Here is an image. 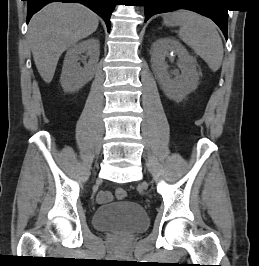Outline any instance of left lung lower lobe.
I'll return each mask as SVG.
<instances>
[{"label":"left lung lower lobe","instance_id":"left-lung-lower-lobe-1","mask_svg":"<svg viewBox=\"0 0 259 266\" xmlns=\"http://www.w3.org/2000/svg\"><path fill=\"white\" fill-rule=\"evenodd\" d=\"M217 0H195L188 2L186 0H141L145 7V21L158 13L173 11L174 9H190L204 16L211 18L222 30L227 39L228 12L224 8H214L213 4ZM188 6H197L190 8Z\"/></svg>","mask_w":259,"mask_h":266}]
</instances>
